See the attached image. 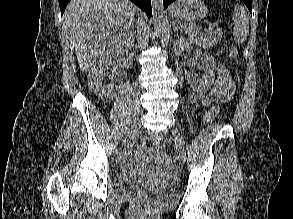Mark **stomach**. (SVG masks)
<instances>
[{
  "instance_id": "stomach-1",
  "label": "stomach",
  "mask_w": 293,
  "mask_h": 219,
  "mask_svg": "<svg viewBox=\"0 0 293 219\" xmlns=\"http://www.w3.org/2000/svg\"><path fill=\"white\" fill-rule=\"evenodd\" d=\"M172 16L187 22H196L207 14V7L201 0H178L171 8Z\"/></svg>"
}]
</instances>
